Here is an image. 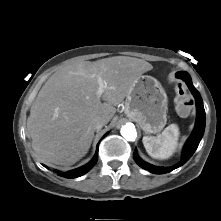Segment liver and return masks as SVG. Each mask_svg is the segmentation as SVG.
<instances>
[{"mask_svg": "<svg viewBox=\"0 0 221 221\" xmlns=\"http://www.w3.org/2000/svg\"><path fill=\"white\" fill-rule=\"evenodd\" d=\"M152 69L144 60L114 56L54 73L39 91L27 119L39 160L49 166H70L85 156L95 132L92 120L100 118L107 124L136 80ZM98 77L106 84L100 97Z\"/></svg>", "mask_w": 221, "mask_h": 221, "instance_id": "obj_1", "label": "liver"}]
</instances>
